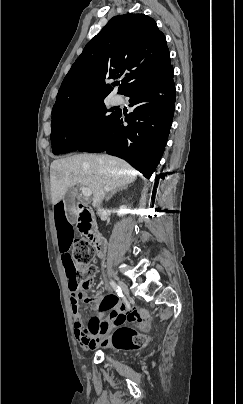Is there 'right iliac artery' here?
<instances>
[{
    "instance_id": "right-iliac-artery-1",
    "label": "right iliac artery",
    "mask_w": 243,
    "mask_h": 404,
    "mask_svg": "<svg viewBox=\"0 0 243 404\" xmlns=\"http://www.w3.org/2000/svg\"><path fill=\"white\" fill-rule=\"evenodd\" d=\"M111 287L114 289V291L118 294V296L122 297V290L121 288L113 281L110 282Z\"/></svg>"
}]
</instances>
